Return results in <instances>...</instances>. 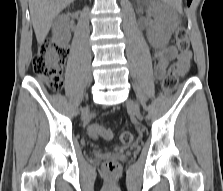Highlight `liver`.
<instances>
[{
	"label": "liver",
	"mask_w": 223,
	"mask_h": 191,
	"mask_svg": "<svg viewBox=\"0 0 223 191\" xmlns=\"http://www.w3.org/2000/svg\"><path fill=\"white\" fill-rule=\"evenodd\" d=\"M74 0H29V10L36 39L42 44L55 17Z\"/></svg>",
	"instance_id": "1"
}]
</instances>
